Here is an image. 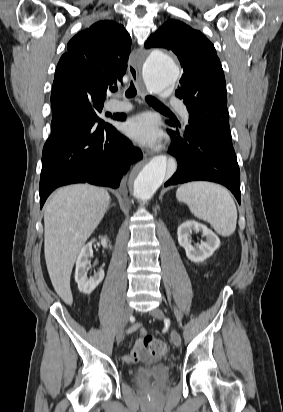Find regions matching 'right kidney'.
Returning a JSON list of instances; mask_svg holds the SVG:
<instances>
[{
    "label": "right kidney",
    "instance_id": "1",
    "mask_svg": "<svg viewBox=\"0 0 283 412\" xmlns=\"http://www.w3.org/2000/svg\"><path fill=\"white\" fill-rule=\"evenodd\" d=\"M95 240L87 243L82 247L77 261H76V270H75V281L78 284V289L84 294H90L104 279V270L100 269L94 274V276L87 278V265L89 264V257L93 255L92 243ZM101 244L104 248H110L111 245H108L107 237L101 238Z\"/></svg>",
    "mask_w": 283,
    "mask_h": 412
}]
</instances>
